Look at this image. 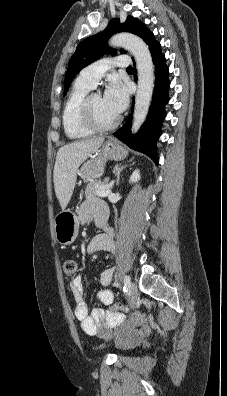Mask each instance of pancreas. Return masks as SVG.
Masks as SVG:
<instances>
[{"mask_svg": "<svg viewBox=\"0 0 227 396\" xmlns=\"http://www.w3.org/2000/svg\"><path fill=\"white\" fill-rule=\"evenodd\" d=\"M109 185V183L107 181L104 182H97L95 180H91L86 188H85V192L84 195L86 198H92L97 196V192L100 190H103L104 188H106Z\"/></svg>", "mask_w": 227, "mask_h": 396, "instance_id": "1", "label": "pancreas"}]
</instances>
